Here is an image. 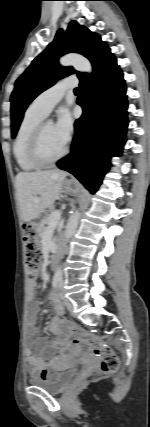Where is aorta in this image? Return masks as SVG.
I'll list each match as a JSON object with an SVG mask.
<instances>
[{
    "label": "aorta",
    "instance_id": "obj_1",
    "mask_svg": "<svg viewBox=\"0 0 150 427\" xmlns=\"http://www.w3.org/2000/svg\"><path fill=\"white\" fill-rule=\"evenodd\" d=\"M60 65L62 66H72L74 69L80 72L92 73V65L90 61L82 55L79 54H67L60 58ZM49 124H52L53 121L49 120ZM80 219V212L76 210L69 218L65 230V238L69 240L75 233L78 222ZM54 279L58 282L63 280V271L61 267H58L54 274Z\"/></svg>",
    "mask_w": 150,
    "mask_h": 427
}]
</instances>
